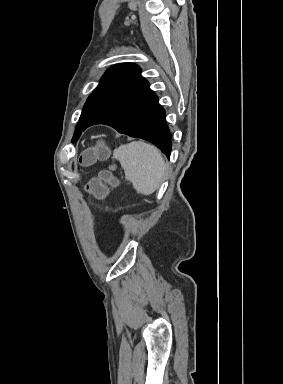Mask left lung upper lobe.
<instances>
[{"label": "left lung upper lobe", "mask_w": 283, "mask_h": 384, "mask_svg": "<svg viewBox=\"0 0 283 384\" xmlns=\"http://www.w3.org/2000/svg\"><path fill=\"white\" fill-rule=\"evenodd\" d=\"M141 69L132 63L116 64L109 68L100 84L88 97L77 124L73 142L86 126L119 103L129 92L145 81Z\"/></svg>", "instance_id": "5c2ea615"}]
</instances>
